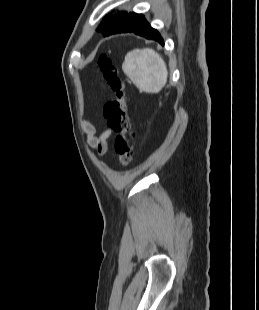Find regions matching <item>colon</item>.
<instances>
[{"label":"colon","instance_id":"obj_1","mask_svg":"<svg viewBox=\"0 0 259 310\" xmlns=\"http://www.w3.org/2000/svg\"><path fill=\"white\" fill-rule=\"evenodd\" d=\"M99 66L103 76L114 92V97L103 106V116L111 132L116 134L115 150L119 155L120 164L128 167L132 162L133 132L128 116V99L125 86L116 64L107 56H102Z\"/></svg>","mask_w":259,"mask_h":310}]
</instances>
